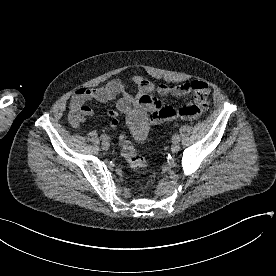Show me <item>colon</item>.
I'll return each instance as SVG.
<instances>
[{
    "label": "colon",
    "mask_w": 276,
    "mask_h": 276,
    "mask_svg": "<svg viewBox=\"0 0 276 276\" xmlns=\"http://www.w3.org/2000/svg\"><path fill=\"white\" fill-rule=\"evenodd\" d=\"M121 153L128 164L134 169L146 170L148 161L139 155L126 135L120 137Z\"/></svg>",
    "instance_id": "5ec220e1"
}]
</instances>
